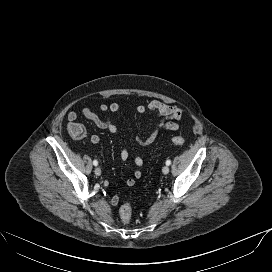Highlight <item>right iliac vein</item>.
Here are the masks:
<instances>
[{
	"label": "right iliac vein",
	"mask_w": 272,
	"mask_h": 272,
	"mask_svg": "<svg viewBox=\"0 0 272 272\" xmlns=\"http://www.w3.org/2000/svg\"><path fill=\"white\" fill-rule=\"evenodd\" d=\"M95 174L97 176H100L101 175V169L99 167H96L95 170H94Z\"/></svg>",
	"instance_id": "obj_1"
}]
</instances>
